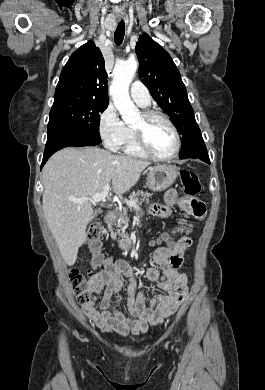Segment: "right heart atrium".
I'll return each mask as SVG.
<instances>
[{
  "label": "right heart atrium",
  "mask_w": 265,
  "mask_h": 390,
  "mask_svg": "<svg viewBox=\"0 0 265 390\" xmlns=\"http://www.w3.org/2000/svg\"><path fill=\"white\" fill-rule=\"evenodd\" d=\"M98 131L105 146L110 150H118L124 142L128 127L112 104H109L100 114Z\"/></svg>",
  "instance_id": "obj_1"
}]
</instances>
